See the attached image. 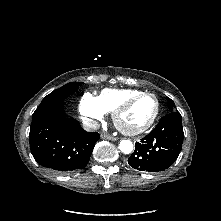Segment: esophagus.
<instances>
[{"label":"esophagus","instance_id":"1","mask_svg":"<svg viewBox=\"0 0 221 221\" xmlns=\"http://www.w3.org/2000/svg\"><path fill=\"white\" fill-rule=\"evenodd\" d=\"M101 138L102 139H106V140H111V141H116L117 140L116 137H113V136H111L109 134H105V133L101 134Z\"/></svg>","mask_w":221,"mask_h":221}]
</instances>
